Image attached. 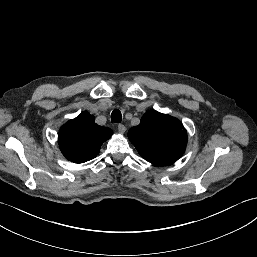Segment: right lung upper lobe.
Listing matches in <instances>:
<instances>
[{
	"mask_svg": "<svg viewBox=\"0 0 257 257\" xmlns=\"http://www.w3.org/2000/svg\"><path fill=\"white\" fill-rule=\"evenodd\" d=\"M94 120V116L82 112L61 127L58 142L68 160L83 163L95 158L103 142L111 137L112 130L95 124Z\"/></svg>",
	"mask_w": 257,
	"mask_h": 257,
	"instance_id": "cb5924a9",
	"label": "right lung upper lobe"
}]
</instances>
